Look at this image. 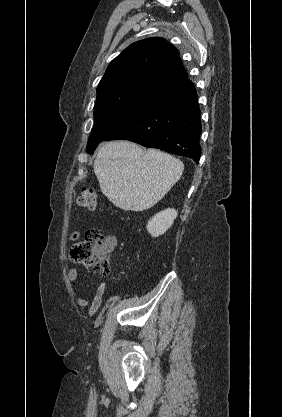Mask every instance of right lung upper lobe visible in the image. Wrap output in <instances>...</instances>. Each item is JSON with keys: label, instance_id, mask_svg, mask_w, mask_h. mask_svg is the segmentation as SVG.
Masks as SVG:
<instances>
[{"label": "right lung upper lobe", "instance_id": "cb5924a9", "mask_svg": "<svg viewBox=\"0 0 282 417\" xmlns=\"http://www.w3.org/2000/svg\"><path fill=\"white\" fill-rule=\"evenodd\" d=\"M187 77L178 50L153 37L131 44L110 63L97 95L131 89L160 92Z\"/></svg>", "mask_w": 282, "mask_h": 417}]
</instances>
